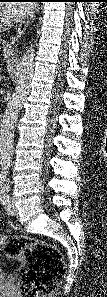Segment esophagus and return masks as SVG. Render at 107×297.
I'll return each instance as SVG.
<instances>
[{"label": "esophagus", "instance_id": "obj_1", "mask_svg": "<svg viewBox=\"0 0 107 297\" xmlns=\"http://www.w3.org/2000/svg\"><path fill=\"white\" fill-rule=\"evenodd\" d=\"M38 6L36 4H32L27 17L19 24L15 35L11 39V43L14 44L17 42L21 36L25 33L27 27L29 26L31 19L33 18L35 11L37 10Z\"/></svg>", "mask_w": 107, "mask_h": 297}]
</instances>
